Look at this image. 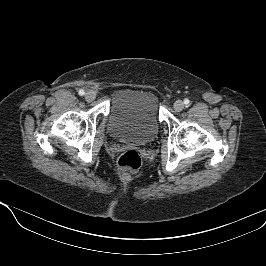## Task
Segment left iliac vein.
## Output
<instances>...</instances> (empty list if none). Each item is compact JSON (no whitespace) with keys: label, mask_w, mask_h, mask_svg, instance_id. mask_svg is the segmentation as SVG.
<instances>
[{"label":"left iliac vein","mask_w":266,"mask_h":266,"mask_svg":"<svg viewBox=\"0 0 266 266\" xmlns=\"http://www.w3.org/2000/svg\"><path fill=\"white\" fill-rule=\"evenodd\" d=\"M173 107L177 112H180L184 109V103L181 100H177L175 101Z\"/></svg>","instance_id":"obj_1"}]
</instances>
